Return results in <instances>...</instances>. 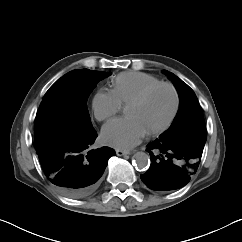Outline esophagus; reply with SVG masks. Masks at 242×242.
<instances>
[{"mask_svg":"<svg viewBox=\"0 0 242 242\" xmlns=\"http://www.w3.org/2000/svg\"><path fill=\"white\" fill-rule=\"evenodd\" d=\"M116 154H117L118 156H124V155H129L130 152H129V151H125V150L117 149V150H116Z\"/></svg>","mask_w":242,"mask_h":242,"instance_id":"34e87169","label":"esophagus"}]
</instances>
